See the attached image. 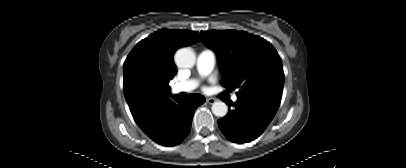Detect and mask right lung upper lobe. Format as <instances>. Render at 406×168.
Returning a JSON list of instances; mask_svg holds the SVG:
<instances>
[{"instance_id": "cb5924a9", "label": "right lung upper lobe", "mask_w": 406, "mask_h": 168, "mask_svg": "<svg viewBox=\"0 0 406 168\" xmlns=\"http://www.w3.org/2000/svg\"><path fill=\"white\" fill-rule=\"evenodd\" d=\"M198 41V32L161 29L133 48L123 65V89L134 118L170 95L168 83L176 74L175 51Z\"/></svg>"}]
</instances>
